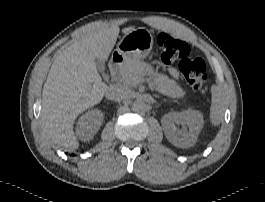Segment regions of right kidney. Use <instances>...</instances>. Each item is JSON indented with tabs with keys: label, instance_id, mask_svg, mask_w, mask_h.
<instances>
[{
	"label": "right kidney",
	"instance_id": "1",
	"mask_svg": "<svg viewBox=\"0 0 265 202\" xmlns=\"http://www.w3.org/2000/svg\"><path fill=\"white\" fill-rule=\"evenodd\" d=\"M104 119L103 113L98 109H92L83 114L76 127V134L82 141H89L98 132Z\"/></svg>",
	"mask_w": 265,
	"mask_h": 202
}]
</instances>
